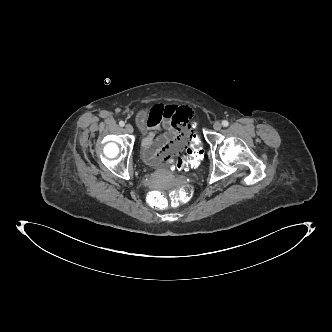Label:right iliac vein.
Here are the masks:
<instances>
[{
	"label": "right iliac vein",
	"instance_id": "right-iliac-vein-1",
	"mask_svg": "<svg viewBox=\"0 0 332 332\" xmlns=\"http://www.w3.org/2000/svg\"><path fill=\"white\" fill-rule=\"evenodd\" d=\"M125 130L127 133H133V131H134L133 126L131 124H127L125 126Z\"/></svg>",
	"mask_w": 332,
	"mask_h": 332
}]
</instances>
